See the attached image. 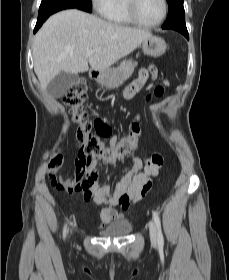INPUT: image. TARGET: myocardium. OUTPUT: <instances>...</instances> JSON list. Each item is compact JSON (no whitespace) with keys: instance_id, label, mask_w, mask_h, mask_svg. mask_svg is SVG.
<instances>
[{"instance_id":"obj_1","label":"myocardium","mask_w":229,"mask_h":280,"mask_svg":"<svg viewBox=\"0 0 229 280\" xmlns=\"http://www.w3.org/2000/svg\"><path fill=\"white\" fill-rule=\"evenodd\" d=\"M136 2L137 0H125V8L127 11V14L130 18V20L132 21V23H134L135 25L141 26V27H148V28H152V27H157L160 24L163 23V21L165 20L167 13H168V3L167 0H161L162 2V14L160 16V18L155 21V22H144L142 21L136 12Z\"/></svg>"}]
</instances>
